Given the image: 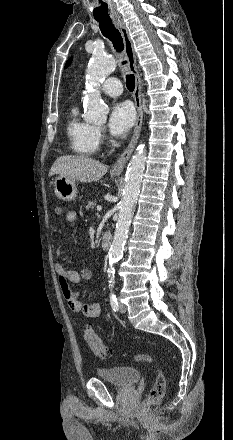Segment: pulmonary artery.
<instances>
[{
    "label": "pulmonary artery",
    "instance_id": "pulmonary-artery-1",
    "mask_svg": "<svg viewBox=\"0 0 233 440\" xmlns=\"http://www.w3.org/2000/svg\"><path fill=\"white\" fill-rule=\"evenodd\" d=\"M101 91L109 96H119L122 93V85L117 78H109L101 85Z\"/></svg>",
    "mask_w": 233,
    "mask_h": 440
}]
</instances>
